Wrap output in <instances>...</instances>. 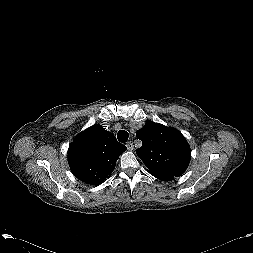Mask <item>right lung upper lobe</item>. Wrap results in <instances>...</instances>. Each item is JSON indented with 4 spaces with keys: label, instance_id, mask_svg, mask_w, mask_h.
Instances as JSON below:
<instances>
[{
    "label": "right lung upper lobe",
    "instance_id": "right-lung-upper-lobe-1",
    "mask_svg": "<svg viewBox=\"0 0 253 253\" xmlns=\"http://www.w3.org/2000/svg\"><path fill=\"white\" fill-rule=\"evenodd\" d=\"M126 146L96 124L76 136L68 149L72 173L82 182L99 185L112 173Z\"/></svg>",
    "mask_w": 253,
    "mask_h": 253
}]
</instances>
